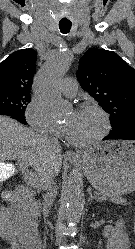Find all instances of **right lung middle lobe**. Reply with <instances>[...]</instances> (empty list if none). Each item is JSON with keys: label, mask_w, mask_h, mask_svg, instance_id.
I'll return each instance as SVG.
<instances>
[{"label": "right lung middle lobe", "mask_w": 135, "mask_h": 249, "mask_svg": "<svg viewBox=\"0 0 135 249\" xmlns=\"http://www.w3.org/2000/svg\"><path fill=\"white\" fill-rule=\"evenodd\" d=\"M30 100L27 92L0 91V110L9 111L24 118V112Z\"/></svg>", "instance_id": "obj_1"}]
</instances>
